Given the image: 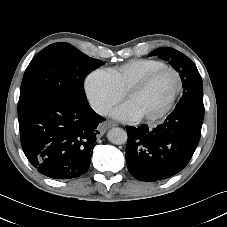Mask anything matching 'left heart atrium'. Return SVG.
Returning a JSON list of instances; mask_svg holds the SVG:
<instances>
[{
  "mask_svg": "<svg viewBox=\"0 0 227 227\" xmlns=\"http://www.w3.org/2000/svg\"><path fill=\"white\" fill-rule=\"evenodd\" d=\"M112 115L122 121H135L137 118H139L125 103L115 108L112 111Z\"/></svg>",
  "mask_w": 227,
  "mask_h": 227,
  "instance_id": "1",
  "label": "left heart atrium"
}]
</instances>
